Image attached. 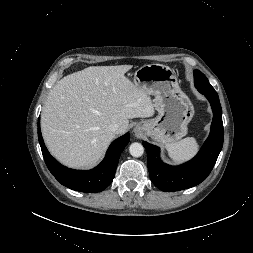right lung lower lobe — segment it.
Instances as JSON below:
<instances>
[{
    "instance_id": "1",
    "label": "right lung lower lobe",
    "mask_w": 253,
    "mask_h": 253,
    "mask_svg": "<svg viewBox=\"0 0 253 253\" xmlns=\"http://www.w3.org/2000/svg\"><path fill=\"white\" fill-rule=\"evenodd\" d=\"M38 139L45 163L58 182L72 190L95 193L103 191L113 181L121 152L129 142V133L114 140L104 160L97 167L88 171L68 169L50 155L41 136L39 120Z\"/></svg>"
}]
</instances>
